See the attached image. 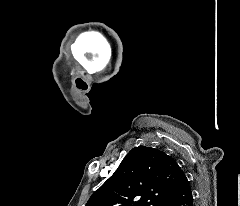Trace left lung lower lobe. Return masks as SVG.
Here are the masks:
<instances>
[{
	"label": "left lung lower lobe",
	"instance_id": "obj_1",
	"mask_svg": "<svg viewBox=\"0 0 240 206\" xmlns=\"http://www.w3.org/2000/svg\"><path fill=\"white\" fill-rule=\"evenodd\" d=\"M162 206H193L191 185L181 168L176 183Z\"/></svg>",
	"mask_w": 240,
	"mask_h": 206
}]
</instances>
